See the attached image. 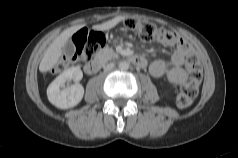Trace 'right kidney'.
Returning <instances> with one entry per match:
<instances>
[{
    "mask_svg": "<svg viewBox=\"0 0 238 158\" xmlns=\"http://www.w3.org/2000/svg\"><path fill=\"white\" fill-rule=\"evenodd\" d=\"M83 73L79 67H71L63 71L47 88V97L51 104L60 109H68L80 103L84 95V88L79 81ZM73 80L74 85L65 86Z\"/></svg>",
    "mask_w": 238,
    "mask_h": 158,
    "instance_id": "right-kidney-1",
    "label": "right kidney"
}]
</instances>
